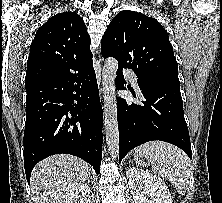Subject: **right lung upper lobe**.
<instances>
[{
    "label": "right lung upper lobe",
    "mask_w": 222,
    "mask_h": 203,
    "mask_svg": "<svg viewBox=\"0 0 222 203\" xmlns=\"http://www.w3.org/2000/svg\"><path fill=\"white\" fill-rule=\"evenodd\" d=\"M92 66L90 37L83 19L75 12H63L37 30L30 46L25 87Z\"/></svg>",
    "instance_id": "cb5924a9"
}]
</instances>
